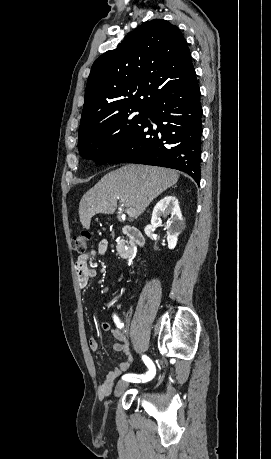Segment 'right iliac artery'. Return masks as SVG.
<instances>
[{
    "label": "right iliac artery",
    "mask_w": 271,
    "mask_h": 459,
    "mask_svg": "<svg viewBox=\"0 0 271 459\" xmlns=\"http://www.w3.org/2000/svg\"><path fill=\"white\" fill-rule=\"evenodd\" d=\"M114 322L116 323L118 328L121 329L123 327V323L120 322L119 318L116 315H114ZM142 359H143L144 363L146 364V366L148 367V369L146 371L147 373H138V375H136V374H125V375L122 376L123 380L134 382V381H138L139 379H142V378H149L152 374H154V372L157 369L155 363H153L150 360V358L147 357L146 355H143ZM142 380H144V379H142ZM145 380H148V379H145Z\"/></svg>",
    "instance_id": "1"
}]
</instances>
